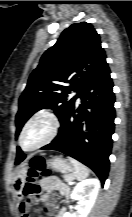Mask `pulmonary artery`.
I'll return each mask as SVG.
<instances>
[{"instance_id":"obj_1","label":"pulmonary artery","mask_w":132,"mask_h":217,"mask_svg":"<svg viewBox=\"0 0 132 217\" xmlns=\"http://www.w3.org/2000/svg\"><path fill=\"white\" fill-rule=\"evenodd\" d=\"M77 101H78V103H79V102H80V98H78V100H77Z\"/></svg>"}]
</instances>
